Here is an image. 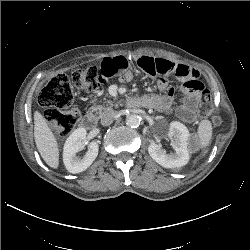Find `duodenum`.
I'll list each match as a JSON object with an SVG mask.
<instances>
[{"label": "duodenum", "mask_w": 250, "mask_h": 250, "mask_svg": "<svg viewBox=\"0 0 250 250\" xmlns=\"http://www.w3.org/2000/svg\"><path fill=\"white\" fill-rule=\"evenodd\" d=\"M137 98H134L128 102L129 106L133 108H138L140 105L136 102ZM96 118L93 113H87L83 116L82 124L88 129H93L95 127Z\"/></svg>", "instance_id": "1"}]
</instances>
